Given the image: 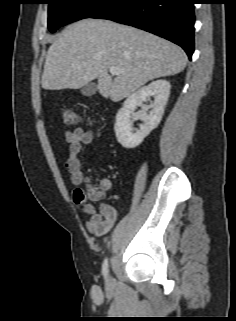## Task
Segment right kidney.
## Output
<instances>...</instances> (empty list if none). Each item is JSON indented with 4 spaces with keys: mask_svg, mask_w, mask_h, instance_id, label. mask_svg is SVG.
<instances>
[{
    "mask_svg": "<svg viewBox=\"0 0 236 321\" xmlns=\"http://www.w3.org/2000/svg\"><path fill=\"white\" fill-rule=\"evenodd\" d=\"M171 85L166 80H157L132 93L116 115L114 126L117 141L125 148L137 147L160 123L167 104ZM154 97L150 105L143 104ZM142 110L134 112L136 107ZM150 110V111H149ZM141 120L139 129L133 130V122Z\"/></svg>",
    "mask_w": 236,
    "mask_h": 321,
    "instance_id": "1",
    "label": "right kidney"
}]
</instances>
